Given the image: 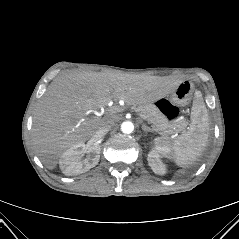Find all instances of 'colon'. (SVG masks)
I'll list each match as a JSON object with an SVG mask.
<instances>
[{
    "label": "colon",
    "mask_w": 239,
    "mask_h": 239,
    "mask_svg": "<svg viewBox=\"0 0 239 239\" xmlns=\"http://www.w3.org/2000/svg\"><path fill=\"white\" fill-rule=\"evenodd\" d=\"M160 111L170 120H173L178 115V109L168 100L161 99L157 103Z\"/></svg>",
    "instance_id": "obj_1"
}]
</instances>
